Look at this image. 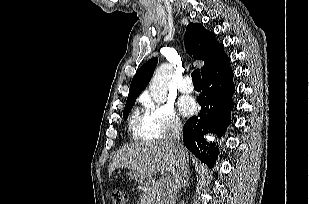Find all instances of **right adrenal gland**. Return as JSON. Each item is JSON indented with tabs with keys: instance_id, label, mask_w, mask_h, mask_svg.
Here are the masks:
<instances>
[{
	"instance_id": "right-adrenal-gland-1",
	"label": "right adrenal gland",
	"mask_w": 309,
	"mask_h": 204,
	"mask_svg": "<svg viewBox=\"0 0 309 204\" xmlns=\"http://www.w3.org/2000/svg\"><path fill=\"white\" fill-rule=\"evenodd\" d=\"M188 180H189V178L186 179V182H185L186 185H188Z\"/></svg>"
}]
</instances>
